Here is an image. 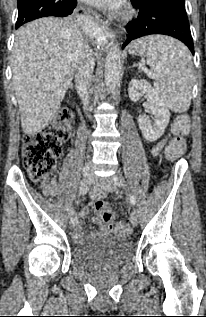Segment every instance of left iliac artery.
Segmentation results:
<instances>
[{"label": "left iliac artery", "mask_w": 206, "mask_h": 317, "mask_svg": "<svg viewBox=\"0 0 206 317\" xmlns=\"http://www.w3.org/2000/svg\"><path fill=\"white\" fill-rule=\"evenodd\" d=\"M113 180L118 186H124V179L122 177L114 176ZM129 202H130L131 205H135L136 199H135V197L133 195L129 196Z\"/></svg>", "instance_id": "1"}]
</instances>
